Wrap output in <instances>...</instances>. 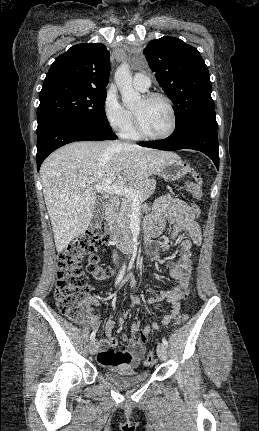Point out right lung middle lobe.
I'll return each instance as SVG.
<instances>
[{
  "label": "right lung middle lobe",
  "mask_w": 259,
  "mask_h": 431,
  "mask_svg": "<svg viewBox=\"0 0 259 431\" xmlns=\"http://www.w3.org/2000/svg\"><path fill=\"white\" fill-rule=\"evenodd\" d=\"M106 90L52 86L40 93L38 126L57 117H74L97 124H108L104 111Z\"/></svg>",
  "instance_id": "1"
}]
</instances>
